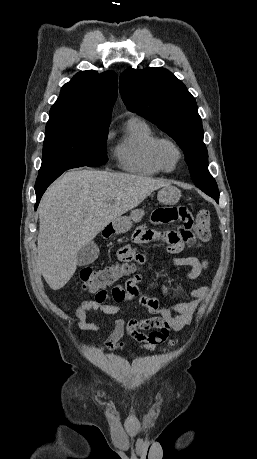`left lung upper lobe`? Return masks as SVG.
Returning <instances> with one entry per match:
<instances>
[{
  "label": "left lung upper lobe",
  "instance_id": "1",
  "mask_svg": "<svg viewBox=\"0 0 257 459\" xmlns=\"http://www.w3.org/2000/svg\"><path fill=\"white\" fill-rule=\"evenodd\" d=\"M119 88L128 110L156 124L178 143L195 185L218 202L219 190L208 171L201 117L185 85L159 67L124 71Z\"/></svg>",
  "mask_w": 257,
  "mask_h": 459
}]
</instances>
